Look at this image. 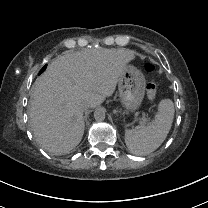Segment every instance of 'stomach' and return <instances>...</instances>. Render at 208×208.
<instances>
[{
  "label": "stomach",
  "instance_id": "stomach-1",
  "mask_svg": "<svg viewBox=\"0 0 208 208\" xmlns=\"http://www.w3.org/2000/svg\"><path fill=\"white\" fill-rule=\"evenodd\" d=\"M145 77L135 67L126 66L119 78V97L126 114L136 113L145 95Z\"/></svg>",
  "mask_w": 208,
  "mask_h": 208
}]
</instances>
